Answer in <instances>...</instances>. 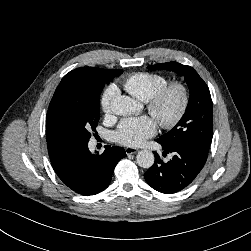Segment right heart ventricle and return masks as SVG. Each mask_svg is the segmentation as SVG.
Instances as JSON below:
<instances>
[{"instance_id": "obj_1", "label": "right heart ventricle", "mask_w": 251, "mask_h": 251, "mask_svg": "<svg viewBox=\"0 0 251 251\" xmlns=\"http://www.w3.org/2000/svg\"><path fill=\"white\" fill-rule=\"evenodd\" d=\"M167 83L168 79L164 75L141 72L127 78L124 82V89L136 99L147 102Z\"/></svg>"}]
</instances>
